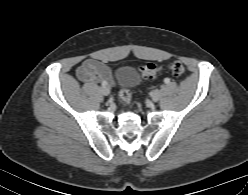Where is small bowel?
<instances>
[{"instance_id": "c3829d8e", "label": "small bowel", "mask_w": 248, "mask_h": 195, "mask_svg": "<svg viewBox=\"0 0 248 195\" xmlns=\"http://www.w3.org/2000/svg\"><path fill=\"white\" fill-rule=\"evenodd\" d=\"M76 75L80 81L88 84H95L100 81L113 83L111 69L96 59L85 60L77 69Z\"/></svg>"}]
</instances>
